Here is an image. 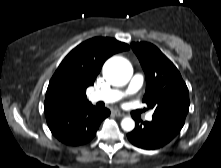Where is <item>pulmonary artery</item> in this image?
I'll list each match as a JSON object with an SVG mask.
<instances>
[{
    "mask_svg": "<svg viewBox=\"0 0 221 168\" xmlns=\"http://www.w3.org/2000/svg\"><path fill=\"white\" fill-rule=\"evenodd\" d=\"M144 77L140 73H136L130 81V84L125 92L120 91L118 89H106L94 91L90 95V99L92 101H103L105 103H114L120 100L126 94H132L137 92L143 84ZM148 121L152 120V115L149 114L146 116Z\"/></svg>",
    "mask_w": 221,
    "mask_h": 168,
    "instance_id": "1",
    "label": "pulmonary artery"
}]
</instances>
